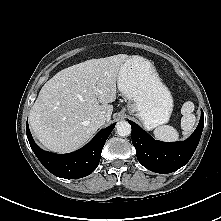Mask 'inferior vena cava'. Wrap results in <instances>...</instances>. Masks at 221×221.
I'll return each mask as SVG.
<instances>
[{
    "label": "inferior vena cava",
    "instance_id": "1",
    "mask_svg": "<svg viewBox=\"0 0 221 221\" xmlns=\"http://www.w3.org/2000/svg\"><path fill=\"white\" fill-rule=\"evenodd\" d=\"M105 120H106V118H105V116L104 115H99L98 117H97V123L98 124H104L105 123Z\"/></svg>",
    "mask_w": 221,
    "mask_h": 221
}]
</instances>
